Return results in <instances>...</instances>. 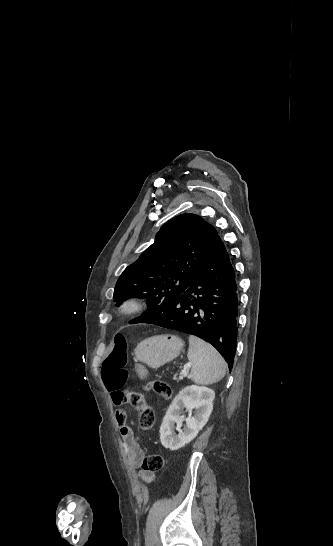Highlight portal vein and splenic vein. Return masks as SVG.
I'll use <instances>...</instances> for the list:
<instances>
[{"instance_id":"1","label":"portal vein and splenic vein","mask_w":333,"mask_h":546,"mask_svg":"<svg viewBox=\"0 0 333 546\" xmlns=\"http://www.w3.org/2000/svg\"><path fill=\"white\" fill-rule=\"evenodd\" d=\"M191 365L190 364H187L184 368V370L182 371V376H185L187 375V369L190 367Z\"/></svg>"}]
</instances>
